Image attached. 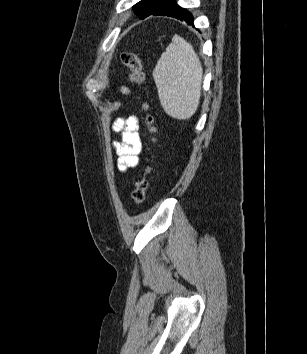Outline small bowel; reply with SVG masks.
Instances as JSON below:
<instances>
[{"label": "small bowel", "instance_id": "obj_1", "mask_svg": "<svg viewBox=\"0 0 307 354\" xmlns=\"http://www.w3.org/2000/svg\"><path fill=\"white\" fill-rule=\"evenodd\" d=\"M124 94H129L127 87H122ZM113 130L120 134L121 140L113 142V148L117 154V167L120 172H126L137 166L139 154L142 151L140 126L137 117L130 116L118 119L113 124Z\"/></svg>", "mask_w": 307, "mask_h": 354}]
</instances>
